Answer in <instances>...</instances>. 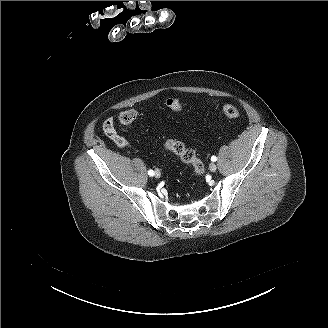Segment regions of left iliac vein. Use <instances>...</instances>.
<instances>
[{
    "label": "left iliac vein",
    "instance_id": "4c4485c4",
    "mask_svg": "<svg viewBox=\"0 0 328 328\" xmlns=\"http://www.w3.org/2000/svg\"><path fill=\"white\" fill-rule=\"evenodd\" d=\"M209 169H210L212 172L216 171V169H217L216 164L211 163V164L209 165Z\"/></svg>",
    "mask_w": 328,
    "mask_h": 328
}]
</instances>
